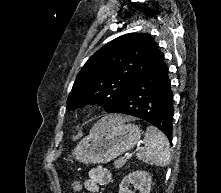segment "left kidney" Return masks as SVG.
<instances>
[{
	"instance_id": "5707ae66",
	"label": "left kidney",
	"mask_w": 221,
	"mask_h": 193,
	"mask_svg": "<svg viewBox=\"0 0 221 193\" xmlns=\"http://www.w3.org/2000/svg\"><path fill=\"white\" fill-rule=\"evenodd\" d=\"M151 182L152 177L148 172H132L122 179L119 185V193H133L129 190L130 184H132L135 189L139 190L140 193H150Z\"/></svg>"
}]
</instances>
